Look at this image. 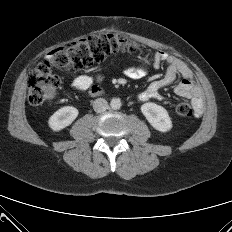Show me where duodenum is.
<instances>
[{
	"label": "duodenum",
	"mask_w": 232,
	"mask_h": 232,
	"mask_svg": "<svg viewBox=\"0 0 232 232\" xmlns=\"http://www.w3.org/2000/svg\"><path fill=\"white\" fill-rule=\"evenodd\" d=\"M101 93H102V92H101L100 89H93V90L91 91V95H94V96L100 95Z\"/></svg>",
	"instance_id": "obj_1"
}]
</instances>
